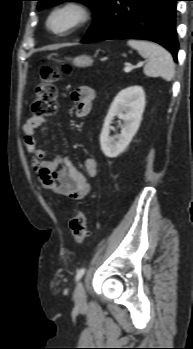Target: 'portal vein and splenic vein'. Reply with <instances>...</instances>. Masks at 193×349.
<instances>
[{
    "label": "portal vein and splenic vein",
    "mask_w": 193,
    "mask_h": 349,
    "mask_svg": "<svg viewBox=\"0 0 193 349\" xmlns=\"http://www.w3.org/2000/svg\"><path fill=\"white\" fill-rule=\"evenodd\" d=\"M143 64H144V62H140L136 67H139V66H141ZM133 68H135V67L127 65V66L124 67V72H130Z\"/></svg>",
    "instance_id": "1"
}]
</instances>
